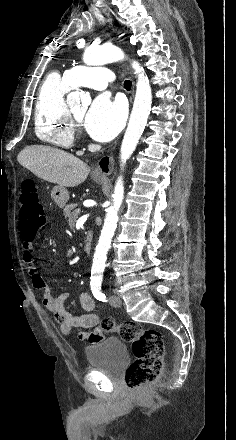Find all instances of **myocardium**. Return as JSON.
Masks as SVG:
<instances>
[{
	"instance_id": "myocardium-1",
	"label": "myocardium",
	"mask_w": 236,
	"mask_h": 440,
	"mask_svg": "<svg viewBox=\"0 0 236 440\" xmlns=\"http://www.w3.org/2000/svg\"><path fill=\"white\" fill-rule=\"evenodd\" d=\"M69 120L73 132L81 131V122L74 116L73 112L69 111Z\"/></svg>"
}]
</instances>
